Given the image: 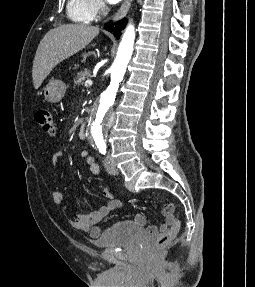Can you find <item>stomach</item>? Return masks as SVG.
I'll use <instances>...</instances> for the list:
<instances>
[{
  "instance_id": "stomach-1",
  "label": "stomach",
  "mask_w": 255,
  "mask_h": 287,
  "mask_svg": "<svg viewBox=\"0 0 255 287\" xmlns=\"http://www.w3.org/2000/svg\"><path fill=\"white\" fill-rule=\"evenodd\" d=\"M66 92L65 84L60 80H51L44 90V98L50 104H57L61 102Z\"/></svg>"
}]
</instances>
